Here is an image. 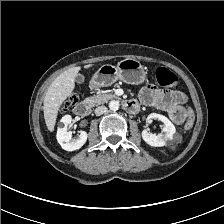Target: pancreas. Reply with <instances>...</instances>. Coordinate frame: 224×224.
I'll use <instances>...</instances> for the list:
<instances>
[{
    "label": "pancreas",
    "instance_id": "cf45deb5",
    "mask_svg": "<svg viewBox=\"0 0 224 224\" xmlns=\"http://www.w3.org/2000/svg\"><path fill=\"white\" fill-rule=\"evenodd\" d=\"M112 98H115V95L98 93V94L94 95L93 100H94L95 104L100 105V104L106 103L108 100H110Z\"/></svg>",
    "mask_w": 224,
    "mask_h": 224
}]
</instances>
